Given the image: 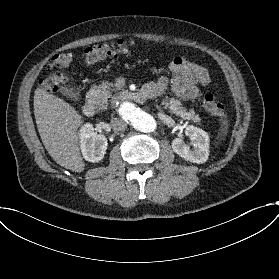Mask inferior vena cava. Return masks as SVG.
Returning <instances> with one entry per match:
<instances>
[{"instance_id": "inferior-vena-cava-1", "label": "inferior vena cava", "mask_w": 279, "mask_h": 279, "mask_svg": "<svg viewBox=\"0 0 279 279\" xmlns=\"http://www.w3.org/2000/svg\"><path fill=\"white\" fill-rule=\"evenodd\" d=\"M110 126L115 131H123L126 129L127 123L125 120H123L121 118H112L110 121Z\"/></svg>"}]
</instances>
